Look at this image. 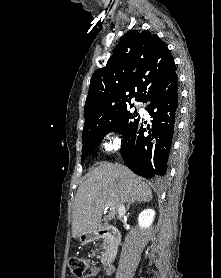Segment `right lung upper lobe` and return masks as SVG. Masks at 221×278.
I'll return each mask as SVG.
<instances>
[{
  "label": "right lung upper lobe",
  "instance_id": "cb5924a9",
  "mask_svg": "<svg viewBox=\"0 0 221 278\" xmlns=\"http://www.w3.org/2000/svg\"><path fill=\"white\" fill-rule=\"evenodd\" d=\"M176 71L167 45L149 31H128L105 67L91 78L84 107L85 122L107 116L145 99Z\"/></svg>",
  "mask_w": 221,
  "mask_h": 278
}]
</instances>
